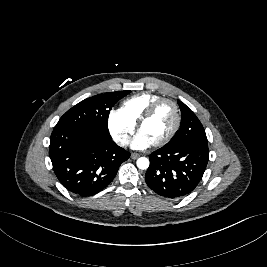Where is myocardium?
Segmentation results:
<instances>
[{"label": "myocardium", "mask_w": 267, "mask_h": 267, "mask_svg": "<svg viewBox=\"0 0 267 267\" xmlns=\"http://www.w3.org/2000/svg\"><path fill=\"white\" fill-rule=\"evenodd\" d=\"M168 103L172 106L174 110V115H175V121L173 124L172 129L170 132L161 140H159L156 143H153L154 146H163L167 144L169 141L172 140V138L176 135V133L179 130L180 124H181V115H180V110L178 107V104L169 98H160L153 102L147 110L144 112V114L141 116L139 121L137 122V130L140 131L141 127L154 115V113L157 111V109L162 105Z\"/></svg>", "instance_id": "f54148a6"}]
</instances>
